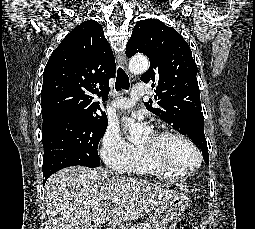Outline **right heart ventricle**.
Instances as JSON below:
<instances>
[{
	"instance_id": "obj_1",
	"label": "right heart ventricle",
	"mask_w": 255,
	"mask_h": 229,
	"mask_svg": "<svg viewBox=\"0 0 255 229\" xmlns=\"http://www.w3.org/2000/svg\"><path fill=\"white\" fill-rule=\"evenodd\" d=\"M123 171L138 175L155 176L162 179H178L182 176H175L168 170L157 164L139 146H133V152L129 161L125 164Z\"/></svg>"
}]
</instances>
